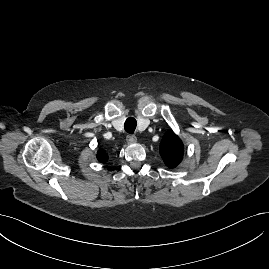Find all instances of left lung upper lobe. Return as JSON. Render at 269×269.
I'll use <instances>...</instances> for the list:
<instances>
[{
  "mask_svg": "<svg viewBox=\"0 0 269 269\" xmlns=\"http://www.w3.org/2000/svg\"><path fill=\"white\" fill-rule=\"evenodd\" d=\"M183 143L172 130L166 132L160 144V155L169 168L176 167L182 160Z\"/></svg>",
  "mask_w": 269,
  "mask_h": 269,
  "instance_id": "1",
  "label": "left lung upper lobe"
}]
</instances>
